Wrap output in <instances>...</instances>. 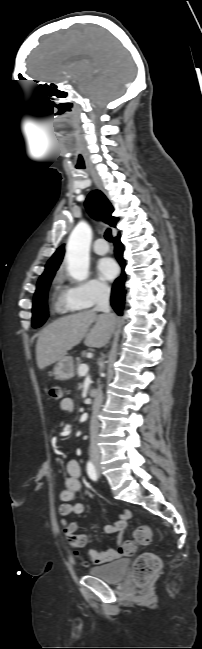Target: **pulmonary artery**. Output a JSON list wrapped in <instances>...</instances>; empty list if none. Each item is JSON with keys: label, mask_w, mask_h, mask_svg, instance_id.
<instances>
[{"label": "pulmonary artery", "mask_w": 202, "mask_h": 649, "mask_svg": "<svg viewBox=\"0 0 202 649\" xmlns=\"http://www.w3.org/2000/svg\"><path fill=\"white\" fill-rule=\"evenodd\" d=\"M109 251V247L104 239L99 238L93 244V252L97 255H104Z\"/></svg>", "instance_id": "obj_1"}]
</instances>
